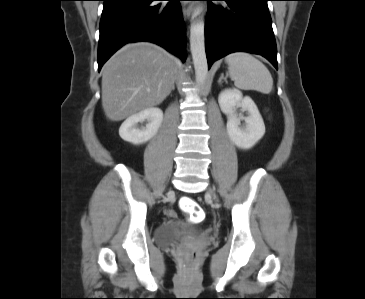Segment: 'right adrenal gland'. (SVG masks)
<instances>
[{
	"mask_svg": "<svg viewBox=\"0 0 365 299\" xmlns=\"http://www.w3.org/2000/svg\"><path fill=\"white\" fill-rule=\"evenodd\" d=\"M175 80H176V77H174V83H173V86H172V90H175Z\"/></svg>",
	"mask_w": 365,
	"mask_h": 299,
	"instance_id": "obj_1",
	"label": "right adrenal gland"
}]
</instances>
